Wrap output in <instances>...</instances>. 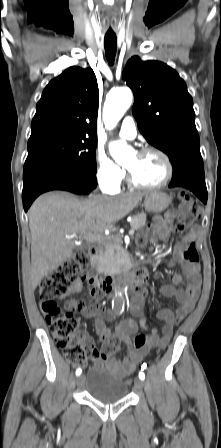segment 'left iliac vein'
Masks as SVG:
<instances>
[{
	"label": "left iliac vein",
	"instance_id": "1",
	"mask_svg": "<svg viewBox=\"0 0 221 448\" xmlns=\"http://www.w3.org/2000/svg\"><path fill=\"white\" fill-rule=\"evenodd\" d=\"M134 386H135V389L141 390L144 387L143 380H141L139 378H136L135 381H134Z\"/></svg>",
	"mask_w": 221,
	"mask_h": 448
}]
</instances>
